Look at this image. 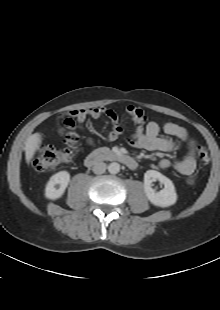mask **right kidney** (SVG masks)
Here are the masks:
<instances>
[{"instance_id":"right-kidney-1","label":"right kidney","mask_w":220,"mask_h":310,"mask_svg":"<svg viewBox=\"0 0 220 310\" xmlns=\"http://www.w3.org/2000/svg\"><path fill=\"white\" fill-rule=\"evenodd\" d=\"M70 182V174L60 171L52 175L45 187V197L51 200L60 198Z\"/></svg>"}]
</instances>
